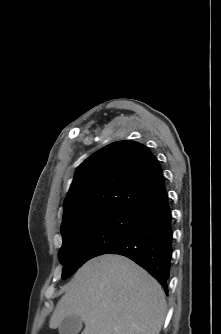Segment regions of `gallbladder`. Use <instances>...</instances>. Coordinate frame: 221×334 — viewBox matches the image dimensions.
I'll list each match as a JSON object with an SVG mask.
<instances>
[{"label": "gallbladder", "instance_id": "obj_1", "mask_svg": "<svg viewBox=\"0 0 221 334\" xmlns=\"http://www.w3.org/2000/svg\"><path fill=\"white\" fill-rule=\"evenodd\" d=\"M82 329V319L72 315L66 317L59 325V334H78Z\"/></svg>", "mask_w": 221, "mask_h": 334}]
</instances>
